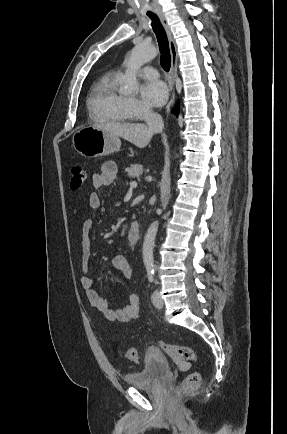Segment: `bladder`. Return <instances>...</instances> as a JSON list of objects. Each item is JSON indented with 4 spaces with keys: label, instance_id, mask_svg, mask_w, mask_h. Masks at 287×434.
<instances>
[{
    "label": "bladder",
    "instance_id": "bladder-1",
    "mask_svg": "<svg viewBox=\"0 0 287 434\" xmlns=\"http://www.w3.org/2000/svg\"><path fill=\"white\" fill-rule=\"evenodd\" d=\"M170 372L168 359L160 352H148L143 364L125 376V383L132 387H149Z\"/></svg>",
    "mask_w": 287,
    "mask_h": 434
}]
</instances>
